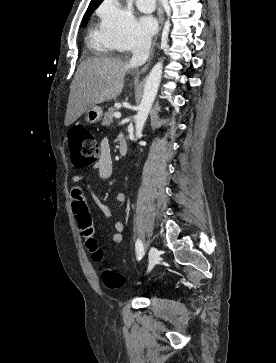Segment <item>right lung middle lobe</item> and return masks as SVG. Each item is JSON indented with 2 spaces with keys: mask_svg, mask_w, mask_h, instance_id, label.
I'll list each match as a JSON object with an SVG mask.
<instances>
[{
  "mask_svg": "<svg viewBox=\"0 0 276 363\" xmlns=\"http://www.w3.org/2000/svg\"><path fill=\"white\" fill-rule=\"evenodd\" d=\"M97 6H91V7H88L84 17H83V20H82V26H86L90 16L92 15V13L94 12V10L96 9Z\"/></svg>",
  "mask_w": 276,
  "mask_h": 363,
  "instance_id": "obj_1",
  "label": "right lung middle lobe"
}]
</instances>
